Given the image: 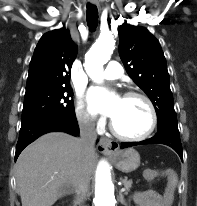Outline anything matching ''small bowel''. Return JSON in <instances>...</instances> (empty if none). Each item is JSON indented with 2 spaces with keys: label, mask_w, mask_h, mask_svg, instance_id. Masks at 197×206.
Returning <instances> with one entry per match:
<instances>
[{
  "label": "small bowel",
  "mask_w": 197,
  "mask_h": 206,
  "mask_svg": "<svg viewBox=\"0 0 197 206\" xmlns=\"http://www.w3.org/2000/svg\"><path fill=\"white\" fill-rule=\"evenodd\" d=\"M136 206H165L164 199L154 191H139L132 196Z\"/></svg>",
  "instance_id": "1"
}]
</instances>
